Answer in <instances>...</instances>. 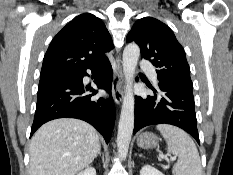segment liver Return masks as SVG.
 I'll use <instances>...</instances> for the list:
<instances>
[{
	"label": "liver",
	"mask_w": 233,
	"mask_h": 175,
	"mask_svg": "<svg viewBox=\"0 0 233 175\" xmlns=\"http://www.w3.org/2000/svg\"><path fill=\"white\" fill-rule=\"evenodd\" d=\"M99 147L98 133L87 122L51 120L31 139L29 175H75L97 157Z\"/></svg>",
	"instance_id": "liver-1"
}]
</instances>
